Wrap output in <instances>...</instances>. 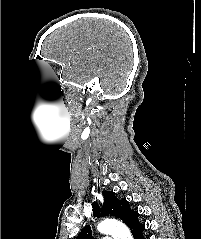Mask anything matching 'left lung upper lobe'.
I'll use <instances>...</instances> for the list:
<instances>
[{
  "instance_id": "1",
  "label": "left lung upper lobe",
  "mask_w": 201,
  "mask_h": 239,
  "mask_svg": "<svg viewBox=\"0 0 201 239\" xmlns=\"http://www.w3.org/2000/svg\"><path fill=\"white\" fill-rule=\"evenodd\" d=\"M104 204L102 208L97 203H93L94 216H115L123 220L132 230L139 224L137 211H132L127 200H120L115 197V194L110 191L103 192ZM76 239H92V231L89 225L82 229Z\"/></svg>"
}]
</instances>
